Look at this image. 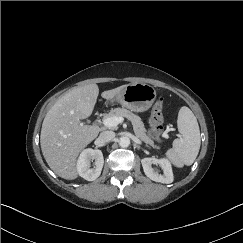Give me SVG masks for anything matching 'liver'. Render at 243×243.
<instances>
[{
  "mask_svg": "<svg viewBox=\"0 0 243 243\" xmlns=\"http://www.w3.org/2000/svg\"><path fill=\"white\" fill-rule=\"evenodd\" d=\"M126 85L102 92L104 99L117 96ZM99 94L97 84L75 87L62 95L47 112L40 134V145L48 166L61 178L78 177L77 158L99 134L97 125H85Z\"/></svg>",
  "mask_w": 243,
  "mask_h": 243,
  "instance_id": "1",
  "label": "liver"
}]
</instances>
